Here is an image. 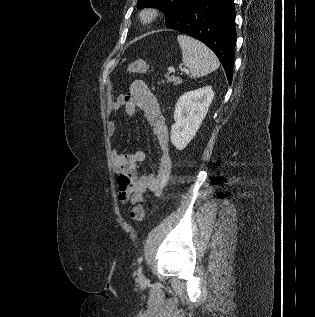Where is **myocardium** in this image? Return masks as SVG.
<instances>
[{"label": "myocardium", "mask_w": 315, "mask_h": 317, "mask_svg": "<svg viewBox=\"0 0 315 317\" xmlns=\"http://www.w3.org/2000/svg\"><path fill=\"white\" fill-rule=\"evenodd\" d=\"M160 15V11L157 8L149 7L140 12L139 19L143 24H150L154 22Z\"/></svg>", "instance_id": "f54148a6"}]
</instances>
